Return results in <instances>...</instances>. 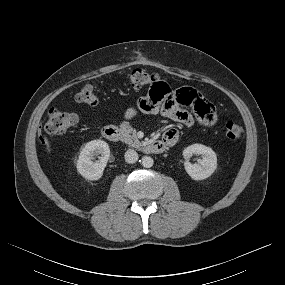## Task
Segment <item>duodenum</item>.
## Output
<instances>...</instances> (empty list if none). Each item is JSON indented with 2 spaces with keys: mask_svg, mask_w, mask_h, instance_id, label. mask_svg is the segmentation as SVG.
<instances>
[{
  "mask_svg": "<svg viewBox=\"0 0 285 285\" xmlns=\"http://www.w3.org/2000/svg\"><path fill=\"white\" fill-rule=\"evenodd\" d=\"M104 138L111 142H119L121 140V132L117 126L107 125L102 129ZM169 144L163 140H154L144 147V151L149 154H159L164 152Z\"/></svg>",
  "mask_w": 285,
  "mask_h": 285,
  "instance_id": "1",
  "label": "duodenum"
}]
</instances>
